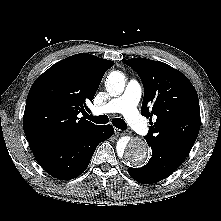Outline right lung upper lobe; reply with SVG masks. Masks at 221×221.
<instances>
[{"instance_id":"1","label":"right lung upper lobe","mask_w":221,"mask_h":221,"mask_svg":"<svg viewBox=\"0 0 221 221\" xmlns=\"http://www.w3.org/2000/svg\"><path fill=\"white\" fill-rule=\"evenodd\" d=\"M113 61L88 53L70 56L46 70L31 86L23 128L34 152L81 135L98 126L77 115L89 110Z\"/></svg>"}]
</instances>
